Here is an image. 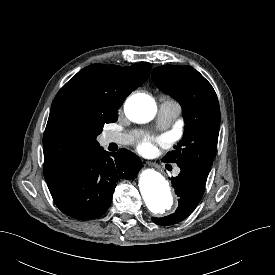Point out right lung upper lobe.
I'll use <instances>...</instances> for the list:
<instances>
[{"label":"right lung upper lobe","mask_w":275,"mask_h":275,"mask_svg":"<svg viewBox=\"0 0 275 275\" xmlns=\"http://www.w3.org/2000/svg\"><path fill=\"white\" fill-rule=\"evenodd\" d=\"M151 68L146 62L128 67L93 64L59 90L43 137L46 182L77 158L99 148V122L118 115L126 97L147 80Z\"/></svg>","instance_id":"obj_1"}]
</instances>
